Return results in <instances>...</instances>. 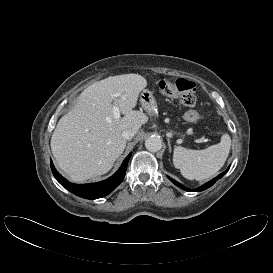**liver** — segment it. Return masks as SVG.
I'll list each match as a JSON object with an SVG mask.
<instances>
[{"label":"liver","instance_id":"obj_1","mask_svg":"<svg viewBox=\"0 0 273 273\" xmlns=\"http://www.w3.org/2000/svg\"><path fill=\"white\" fill-rule=\"evenodd\" d=\"M146 86V79L138 74L105 78L86 88L59 120L51 137V150L71 181L100 176L112 168L126 146L122 132L131 129L137 133L146 122L144 113L134 110ZM116 93L120 96L114 97ZM115 105L124 117L114 118Z\"/></svg>","mask_w":273,"mask_h":273}]
</instances>
